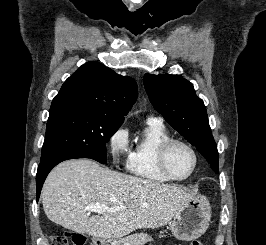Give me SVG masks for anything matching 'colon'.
I'll use <instances>...</instances> for the list:
<instances>
[{
    "mask_svg": "<svg viewBox=\"0 0 266 245\" xmlns=\"http://www.w3.org/2000/svg\"><path fill=\"white\" fill-rule=\"evenodd\" d=\"M84 241V236L78 232H66L64 236L53 235L51 237V245H83ZM191 245H201V243L198 240H193Z\"/></svg>",
    "mask_w": 266,
    "mask_h": 245,
    "instance_id": "obj_1",
    "label": "colon"
}]
</instances>
